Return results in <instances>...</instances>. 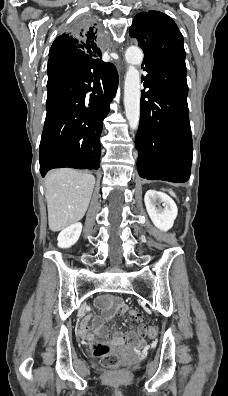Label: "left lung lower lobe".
<instances>
[{
	"label": "left lung lower lobe",
	"mask_w": 228,
	"mask_h": 396,
	"mask_svg": "<svg viewBox=\"0 0 228 396\" xmlns=\"http://www.w3.org/2000/svg\"><path fill=\"white\" fill-rule=\"evenodd\" d=\"M142 69L148 73L142 81L149 91L141 92L135 138L138 173L148 180L184 183L193 158L186 77L162 64L149 63Z\"/></svg>",
	"instance_id": "obj_1"
}]
</instances>
